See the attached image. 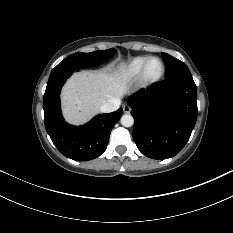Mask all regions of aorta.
<instances>
[{
	"label": "aorta",
	"instance_id": "aorta-1",
	"mask_svg": "<svg viewBox=\"0 0 233 233\" xmlns=\"http://www.w3.org/2000/svg\"><path fill=\"white\" fill-rule=\"evenodd\" d=\"M120 120L124 127H131L134 124V119L130 114L123 115Z\"/></svg>",
	"mask_w": 233,
	"mask_h": 233
}]
</instances>
